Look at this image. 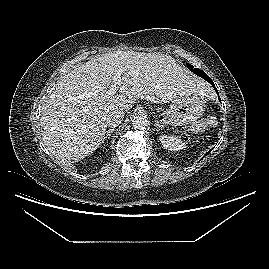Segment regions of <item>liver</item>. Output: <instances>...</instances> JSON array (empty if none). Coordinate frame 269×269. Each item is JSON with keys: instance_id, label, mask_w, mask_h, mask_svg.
I'll return each mask as SVG.
<instances>
[{"instance_id": "6515ba94", "label": "liver", "mask_w": 269, "mask_h": 269, "mask_svg": "<svg viewBox=\"0 0 269 269\" xmlns=\"http://www.w3.org/2000/svg\"><path fill=\"white\" fill-rule=\"evenodd\" d=\"M121 71L119 94L106 97ZM211 95L204 81L180 67L169 55L115 51L94 58L57 81L42 110L43 141L61 163L92 154L103 142L106 117L128 111L137 99L167 103L179 97Z\"/></svg>"}]
</instances>
